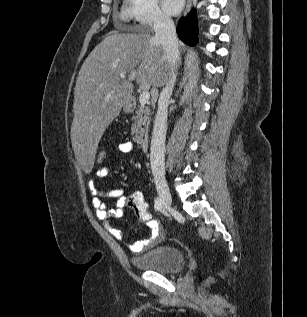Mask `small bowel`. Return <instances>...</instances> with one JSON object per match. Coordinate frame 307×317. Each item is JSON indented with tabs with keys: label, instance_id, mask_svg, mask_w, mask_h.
Wrapping results in <instances>:
<instances>
[{
	"label": "small bowel",
	"instance_id": "1",
	"mask_svg": "<svg viewBox=\"0 0 307 317\" xmlns=\"http://www.w3.org/2000/svg\"><path fill=\"white\" fill-rule=\"evenodd\" d=\"M117 150L121 154H129L134 150V144L131 141L121 142L118 144ZM108 173L109 168L107 166L99 167L95 172V177L89 181V189L93 196L92 204L96 215L100 220L105 222V228L110 234L124 241L132 252L139 253L151 246L158 238L159 231L157 224L154 221H150V233L145 239L137 242L127 241L123 231L110 225V219L123 216L124 209L127 206V196H125L124 189L122 188L103 190L98 187L97 180L107 177ZM103 198L113 199L114 202L106 204L103 202Z\"/></svg>",
	"mask_w": 307,
	"mask_h": 317
}]
</instances>
